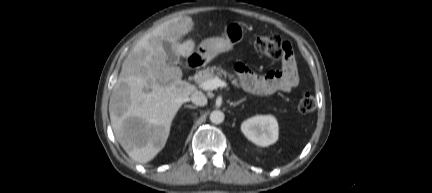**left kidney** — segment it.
<instances>
[{"mask_svg": "<svg viewBox=\"0 0 432 193\" xmlns=\"http://www.w3.org/2000/svg\"><path fill=\"white\" fill-rule=\"evenodd\" d=\"M278 122L272 115H256L241 124V131L248 140L262 147L278 140Z\"/></svg>", "mask_w": 432, "mask_h": 193, "instance_id": "5707ae66", "label": "left kidney"}]
</instances>
